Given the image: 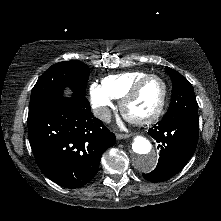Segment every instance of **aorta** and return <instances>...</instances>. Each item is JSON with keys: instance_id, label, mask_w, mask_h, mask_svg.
Instances as JSON below:
<instances>
[{"instance_id": "aorta-1", "label": "aorta", "mask_w": 221, "mask_h": 221, "mask_svg": "<svg viewBox=\"0 0 221 221\" xmlns=\"http://www.w3.org/2000/svg\"><path fill=\"white\" fill-rule=\"evenodd\" d=\"M132 163L136 169L142 172L152 171L158 160V156L150 141L144 136L137 135L132 143Z\"/></svg>"}]
</instances>
